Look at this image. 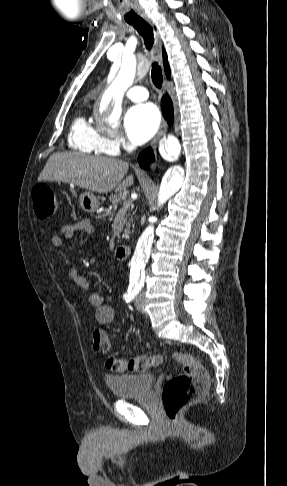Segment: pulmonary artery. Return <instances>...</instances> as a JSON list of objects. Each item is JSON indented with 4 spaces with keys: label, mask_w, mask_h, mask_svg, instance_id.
<instances>
[{
    "label": "pulmonary artery",
    "mask_w": 287,
    "mask_h": 486,
    "mask_svg": "<svg viewBox=\"0 0 287 486\" xmlns=\"http://www.w3.org/2000/svg\"><path fill=\"white\" fill-rule=\"evenodd\" d=\"M126 97L134 102H141L148 98L147 90L142 86H133L129 88L126 93Z\"/></svg>",
    "instance_id": "pulmonary-artery-1"
}]
</instances>
